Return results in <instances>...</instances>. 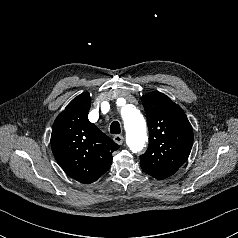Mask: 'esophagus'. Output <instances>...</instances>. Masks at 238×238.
<instances>
[{"mask_svg":"<svg viewBox=\"0 0 238 238\" xmlns=\"http://www.w3.org/2000/svg\"><path fill=\"white\" fill-rule=\"evenodd\" d=\"M113 140L118 144V145H122L123 141H124V137L122 135H115L113 137Z\"/></svg>","mask_w":238,"mask_h":238,"instance_id":"1","label":"esophagus"}]
</instances>
